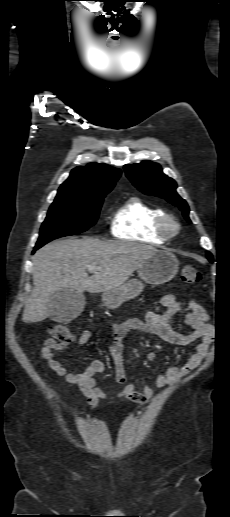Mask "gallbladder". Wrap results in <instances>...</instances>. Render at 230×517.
I'll list each match as a JSON object with an SVG mask.
<instances>
[{
  "instance_id": "obj_1",
  "label": "gallbladder",
  "mask_w": 230,
  "mask_h": 517,
  "mask_svg": "<svg viewBox=\"0 0 230 517\" xmlns=\"http://www.w3.org/2000/svg\"><path fill=\"white\" fill-rule=\"evenodd\" d=\"M85 297L75 290L64 289L51 296L47 307L50 319L56 322H68L81 314L85 306Z\"/></svg>"
}]
</instances>
